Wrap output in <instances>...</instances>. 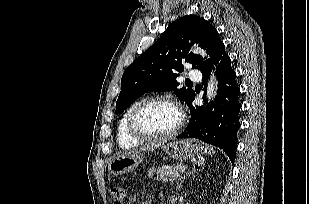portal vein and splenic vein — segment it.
Returning <instances> with one entry per match:
<instances>
[{
	"label": "portal vein and splenic vein",
	"instance_id": "portal-vein-and-splenic-vein-1",
	"mask_svg": "<svg viewBox=\"0 0 309 204\" xmlns=\"http://www.w3.org/2000/svg\"><path fill=\"white\" fill-rule=\"evenodd\" d=\"M185 169H187V166H185V167H182V171H183V170H185Z\"/></svg>",
	"mask_w": 309,
	"mask_h": 204
}]
</instances>
